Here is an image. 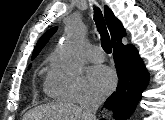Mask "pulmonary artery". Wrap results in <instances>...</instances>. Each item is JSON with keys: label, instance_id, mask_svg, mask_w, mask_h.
<instances>
[{"label": "pulmonary artery", "instance_id": "e3ab8cb5", "mask_svg": "<svg viewBox=\"0 0 165 120\" xmlns=\"http://www.w3.org/2000/svg\"><path fill=\"white\" fill-rule=\"evenodd\" d=\"M88 58L92 62H102L105 56L101 47L93 46L88 51Z\"/></svg>", "mask_w": 165, "mask_h": 120}]
</instances>
